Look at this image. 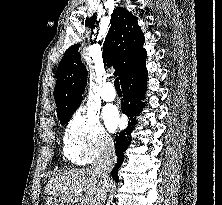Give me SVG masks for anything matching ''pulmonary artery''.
I'll return each mask as SVG.
<instances>
[{"label":"pulmonary artery","mask_w":222,"mask_h":205,"mask_svg":"<svg viewBox=\"0 0 222 205\" xmlns=\"http://www.w3.org/2000/svg\"><path fill=\"white\" fill-rule=\"evenodd\" d=\"M101 97L104 101H114L116 98V92L113 85L110 82L104 84L101 90Z\"/></svg>","instance_id":"e3ab8cb5"}]
</instances>
